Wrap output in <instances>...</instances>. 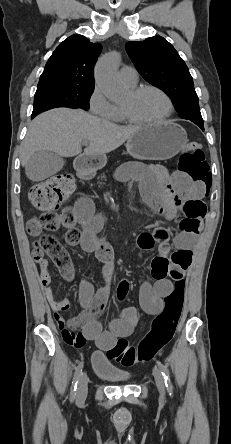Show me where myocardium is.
<instances>
[{"label": "myocardium", "mask_w": 231, "mask_h": 444, "mask_svg": "<svg viewBox=\"0 0 231 444\" xmlns=\"http://www.w3.org/2000/svg\"><path fill=\"white\" fill-rule=\"evenodd\" d=\"M148 90L158 92L160 95H162L164 97V99L166 100L167 105H168L167 112L165 113V115H163L162 117H160L156 120H141V119H138L135 117V115L132 113L130 108L122 105V110H123V113L126 117V120L129 121L130 123L138 124V125H157V124L167 121L172 116V114L174 112V103H173L171 97L168 95V93L165 92L160 87H157L155 85H142V86L132 88L129 93L131 94L132 97H137L142 92L148 91Z\"/></svg>", "instance_id": "1"}]
</instances>
